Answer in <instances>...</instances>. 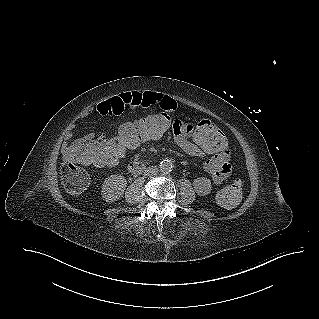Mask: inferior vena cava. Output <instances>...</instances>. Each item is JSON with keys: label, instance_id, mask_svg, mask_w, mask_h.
I'll return each mask as SVG.
<instances>
[{"label": "inferior vena cava", "instance_id": "inferior-vena-cava-1", "mask_svg": "<svg viewBox=\"0 0 319 319\" xmlns=\"http://www.w3.org/2000/svg\"><path fill=\"white\" fill-rule=\"evenodd\" d=\"M148 171L150 174H156L158 172V169L156 167H150Z\"/></svg>", "mask_w": 319, "mask_h": 319}]
</instances>
